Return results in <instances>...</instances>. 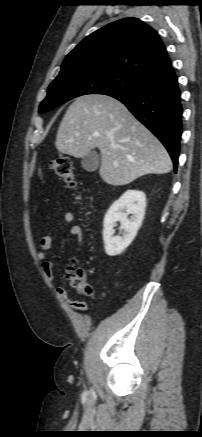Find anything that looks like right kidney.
<instances>
[{"label":"right kidney","mask_w":202,"mask_h":437,"mask_svg":"<svg viewBox=\"0 0 202 437\" xmlns=\"http://www.w3.org/2000/svg\"><path fill=\"white\" fill-rule=\"evenodd\" d=\"M145 208L146 195L138 190H127L111 205L103 223V240L107 255H119L131 244L141 227ZM128 215H131L130 219ZM117 222L121 224L122 236H114Z\"/></svg>","instance_id":"1"}]
</instances>
